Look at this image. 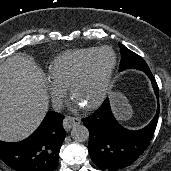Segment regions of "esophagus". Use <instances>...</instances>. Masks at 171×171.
Returning <instances> with one entry per match:
<instances>
[{"instance_id":"1","label":"esophagus","mask_w":171,"mask_h":171,"mask_svg":"<svg viewBox=\"0 0 171 171\" xmlns=\"http://www.w3.org/2000/svg\"><path fill=\"white\" fill-rule=\"evenodd\" d=\"M80 120L76 117L66 116L63 121V127L65 130H70L75 125L79 124Z\"/></svg>"}]
</instances>
